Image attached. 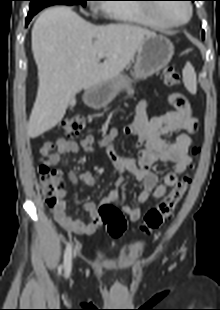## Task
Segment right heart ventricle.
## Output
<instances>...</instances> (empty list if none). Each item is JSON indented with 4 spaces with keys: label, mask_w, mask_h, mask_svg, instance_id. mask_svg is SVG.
Segmentation results:
<instances>
[{
    "label": "right heart ventricle",
    "mask_w": 220,
    "mask_h": 310,
    "mask_svg": "<svg viewBox=\"0 0 220 310\" xmlns=\"http://www.w3.org/2000/svg\"><path fill=\"white\" fill-rule=\"evenodd\" d=\"M105 10L107 13L121 22L155 29L167 28V26H165L163 23L153 18L148 12V9L141 6L111 4L108 5Z\"/></svg>",
    "instance_id": "right-heart-ventricle-1"
}]
</instances>
